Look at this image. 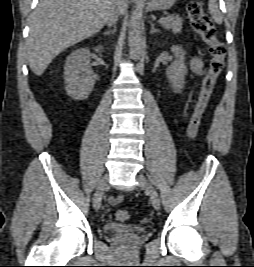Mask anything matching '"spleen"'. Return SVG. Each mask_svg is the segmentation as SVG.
<instances>
[{
    "mask_svg": "<svg viewBox=\"0 0 254 267\" xmlns=\"http://www.w3.org/2000/svg\"><path fill=\"white\" fill-rule=\"evenodd\" d=\"M208 10L214 21L218 24H221L223 21V16L218 9V4L216 0L208 1Z\"/></svg>",
    "mask_w": 254,
    "mask_h": 267,
    "instance_id": "spleen-1",
    "label": "spleen"
}]
</instances>
